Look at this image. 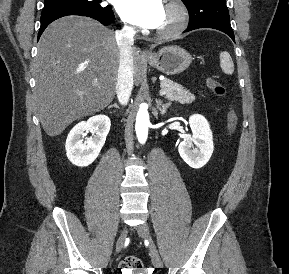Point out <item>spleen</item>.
I'll return each mask as SVG.
<instances>
[{
    "label": "spleen",
    "mask_w": 289,
    "mask_h": 274,
    "mask_svg": "<svg viewBox=\"0 0 289 274\" xmlns=\"http://www.w3.org/2000/svg\"><path fill=\"white\" fill-rule=\"evenodd\" d=\"M220 66L225 74L231 75L234 71V63L227 52L220 53Z\"/></svg>",
    "instance_id": "3e777b00"
}]
</instances>
